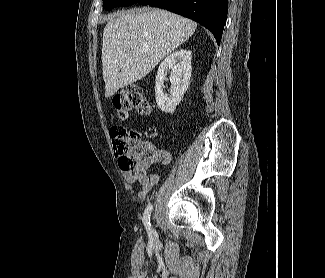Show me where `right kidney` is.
Instances as JSON below:
<instances>
[{"label": "right kidney", "instance_id": "right-kidney-1", "mask_svg": "<svg viewBox=\"0 0 325 278\" xmlns=\"http://www.w3.org/2000/svg\"><path fill=\"white\" fill-rule=\"evenodd\" d=\"M191 51L180 49L167 56L160 64L155 83L157 106L165 113L174 112L188 89L191 78ZM172 70L170 96L163 92L164 81L169 70Z\"/></svg>", "mask_w": 325, "mask_h": 278}]
</instances>
